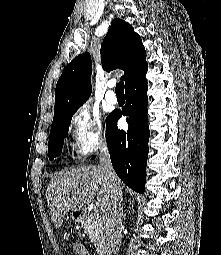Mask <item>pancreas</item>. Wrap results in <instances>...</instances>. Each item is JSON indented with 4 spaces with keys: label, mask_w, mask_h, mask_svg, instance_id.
Instances as JSON below:
<instances>
[{
    "label": "pancreas",
    "mask_w": 221,
    "mask_h": 255,
    "mask_svg": "<svg viewBox=\"0 0 221 255\" xmlns=\"http://www.w3.org/2000/svg\"><path fill=\"white\" fill-rule=\"evenodd\" d=\"M104 225L103 219L96 213L91 214L84 221L83 227L85 232L89 235V238L97 245V248L101 250L103 248L101 242V233Z\"/></svg>",
    "instance_id": "cf45deb5"
}]
</instances>
